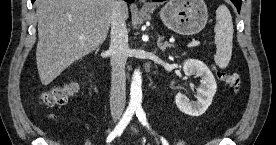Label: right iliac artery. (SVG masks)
Wrapping results in <instances>:
<instances>
[{
  "mask_svg": "<svg viewBox=\"0 0 276 145\" xmlns=\"http://www.w3.org/2000/svg\"><path fill=\"white\" fill-rule=\"evenodd\" d=\"M135 112L134 107H128L121 118L120 122L116 125L114 130L108 135L106 142L110 143L116 136H120L126 126L129 124L130 120L132 119Z\"/></svg>",
  "mask_w": 276,
  "mask_h": 145,
  "instance_id": "1",
  "label": "right iliac artery"
}]
</instances>
